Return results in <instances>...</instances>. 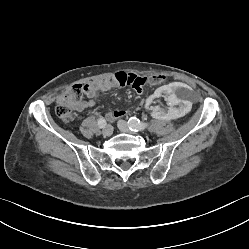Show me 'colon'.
Listing matches in <instances>:
<instances>
[{
    "mask_svg": "<svg viewBox=\"0 0 249 249\" xmlns=\"http://www.w3.org/2000/svg\"><path fill=\"white\" fill-rule=\"evenodd\" d=\"M166 80L165 74H160L159 76L148 75L147 77H137L136 75L130 77L127 82L128 86L136 89L137 95L143 94V87L150 83H163ZM85 94V86L81 84H75L68 88L58 99L55 108L56 115L63 122H71L74 118L73 109L82 101Z\"/></svg>",
    "mask_w": 249,
    "mask_h": 249,
    "instance_id": "obj_1",
    "label": "colon"
}]
</instances>
